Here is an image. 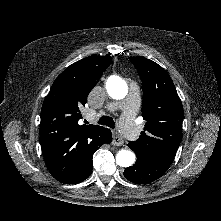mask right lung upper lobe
Here are the masks:
<instances>
[{"mask_svg":"<svg viewBox=\"0 0 221 221\" xmlns=\"http://www.w3.org/2000/svg\"><path fill=\"white\" fill-rule=\"evenodd\" d=\"M110 56H89L67 67L54 81L41 110L40 143L46 166L62 183L77 172L86 151L102 142L107 128L79 125V108L102 73Z\"/></svg>","mask_w":221,"mask_h":221,"instance_id":"cb5924a9","label":"right lung upper lobe"}]
</instances>
